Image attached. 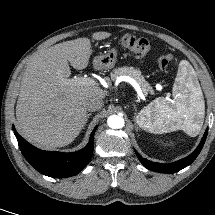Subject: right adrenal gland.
<instances>
[{
    "label": "right adrenal gland",
    "instance_id": "2a0ac1e0",
    "mask_svg": "<svg viewBox=\"0 0 215 215\" xmlns=\"http://www.w3.org/2000/svg\"><path fill=\"white\" fill-rule=\"evenodd\" d=\"M90 115H91V113H88V114H87L84 126L86 125V123H87V121H88Z\"/></svg>",
    "mask_w": 215,
    "mask_h": 215
}]
</instances>
